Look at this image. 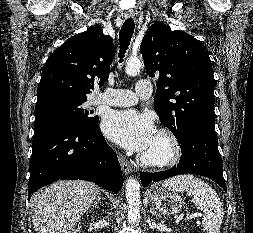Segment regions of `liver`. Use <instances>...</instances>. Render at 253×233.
<instances>
[{
	"mask_svg": "<svg viewBox=\"0 0 253 233\" xmlns=\"http://www.w3.org/2000/svg\"><path fill=\"white\" fill-rule=\"evenodd\" d=\"M100 196L92 182H55L31 199L32 221L36 233H76V224Z\"/></svg>",
	"mask_w": 253,
	"mask_h": 233,
	"instance_id": "1",
	"label": "liver"
}]
</instances>
